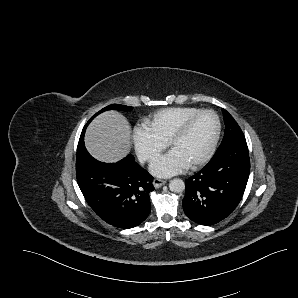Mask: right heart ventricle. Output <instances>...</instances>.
<instances>
[{
    "mask_svg": "<svg viewBox=\"0 0 298 298\" xmlns=\"http://www.w3.org/2000/svg\"><path fill=\"white\" fill-rule=\"evenodd\" d=\"M201 111L197 107H172L157 111L148 119L150 130L166 141L175 126L185 118Z\"/></svg>",
    "mask_w": 298,
    "mask_h": 298,
    "instance_id": "obj_1",
    "label": "right heart ventricle"
}]
</instances>
